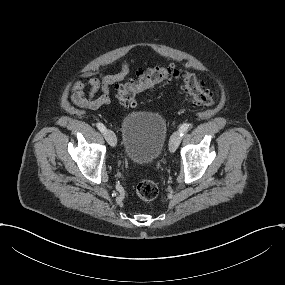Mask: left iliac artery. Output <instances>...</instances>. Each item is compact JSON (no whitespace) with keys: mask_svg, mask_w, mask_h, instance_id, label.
<instances>
[{"mask_svg":"<svg viewBox=\"0 0 285 285\" xmlns=\"http://www.w3.org/2000/svg\"><path fill=\"white\" fill-rule=\"evenodd\" d=\"M189 128V124L185 123V124H182L181 127L179 128V134L180 136H183L186 131L188 130Z\"/></svg>","mask_w":285,"mask_h":285,"instance_id":"left-iliac-artery-1","label":"left iliac artery"}]
</instances>
